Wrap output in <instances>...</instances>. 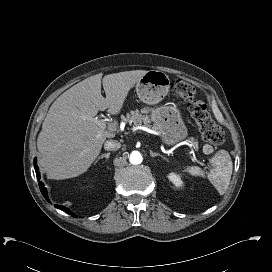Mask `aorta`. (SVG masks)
<instances>
[{"instance_id":"762f6f07","label":"aorta","mask_w":272,"mask_h":272,"mask_svg":"<svg viewBox=\"0 0 272 272\" xmlns=\"http://www.w3.org/2000/svg\"><path fill=\"white\" fill-rule=\"evenodd\" d=\"M129 161H130V163L133 164V165H138V164H140V163L143 161V157H142V155H141L140 152H138V151H133V152L130 154Z\"/></svg>"}]
</instances>
